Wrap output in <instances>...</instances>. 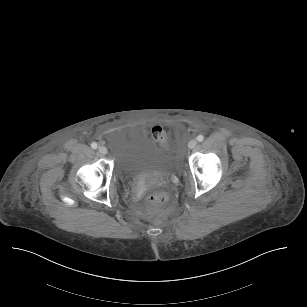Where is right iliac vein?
Returning a JSON list of instances; mask_svg holds the SVG:
<instances>
[{
    "label": "right iliac vein",
    "mask_w": 307,
    "mask_h": 307,
    "mask_svg": "<svg viewBox=\"0 0 307 307\" xmlns=\"http://www.w3.org/2000/svg\"><path fill=\"white\" fill-rule=\"evenodd\" d=\"M98 151H99V153H101L103 155H106L108 153V150L105 146H99Z\"/></svg>",
    "instance_id": "right-iliac-vein-1"
}]
</instances>
